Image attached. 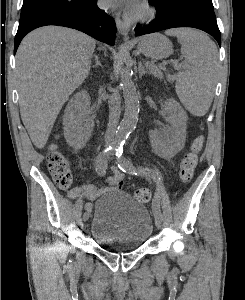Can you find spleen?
<instances>
[{
    "mask_svg": "<svg viewBox=\"0 0 245 300\" xmlns=\"http://www.w3.org/2000/svg\"><path fill=\"white\" fill-rule=\"evenodd\" d=\"M182 45L181 53L189 67L178 73L176 93L184 107L195 116H204L212 103L216 81L218 53L216 45L203 33L193 29H172Z\"/></svg>",
    "mask_w": 245,
    "mask_h": 300,
    "instance_id": "obj_1",
    "label": "spleen"
}]
</instances>
